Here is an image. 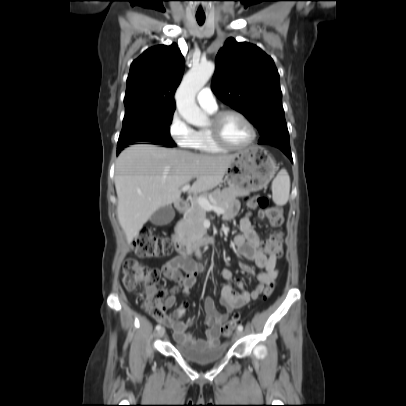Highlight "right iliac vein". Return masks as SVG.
Instances as JSON below:
<instances>
[{"label":"right iliac vein","mask_w":406,"mask_h":406,"mask_svg":"<svg viewBox=\"0 0 406 406\" xmlns=\"http://www.w3.org/2000/svg\"><path fill=\"white\" fill-rule=\"evenodd\" d=\"M158 336L159 337H163L164 336V334H165V329L164 328H161L160 330H158Z\"/></svg>","instance_id":"right-iliac-vein-1"}]
</instances>
